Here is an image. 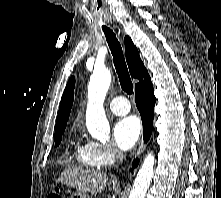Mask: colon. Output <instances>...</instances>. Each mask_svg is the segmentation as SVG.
<instances>
[{
  "mask_svg": "<svg viewBox=\"0 0 221 198\" xmlns=\"http://www.w3.org/2000/svg\"><path fill=\"white\" fill-rule=\"evenodd\" d=\"M47 198H62V196L58 192H53Z\"/></svg>",
  "mask_w": 221,
  "mask_h": 198,
  "instance_id": "1",
  "label": "colon"
}]
</instances>
